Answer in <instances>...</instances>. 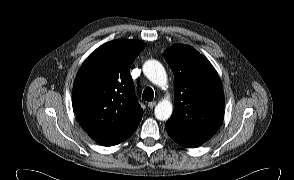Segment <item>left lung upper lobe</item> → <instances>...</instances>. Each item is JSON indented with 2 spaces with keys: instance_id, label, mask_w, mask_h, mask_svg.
Returning <instances> with one entry per match:
<instances>
[{
  "instance_id": "1",
  "label": "left lung upper lobe",
  "mask_w": 294,
  "mask_h": 180,
  "mask_svg": "<svg viewBox=\"0 0 294 180\" xmlns=\"http://www.w3.org/2000/svg\"><path fill=\"white\" fill-rule=\"evenodd\" d=\"M175 79V106L167 121L188 131H217L224 92L212 64L193 47L174 44L164 53Z\"/></svg>"
}]
</instances>
